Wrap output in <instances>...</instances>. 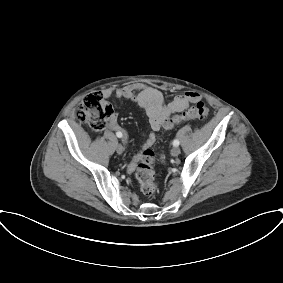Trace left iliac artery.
<instances>
[{
	"label": "left iliac artery",
	"instance_id": "left-iliac-artery-1",
	"mask_svg": "<svg viewBox=\"0 0 283 283\" xmlns=\"http://www.w3.org/2000/svg\"><path fill=\"white\" fill-rule=\"evenodd\" d=\"M173 145H174V146H179V140L175 139V140L173 141Z\"/></svg>",
	"mask_w": 283,
	"mask_h": 283
}]
</instances>
